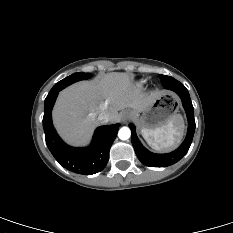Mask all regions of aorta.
<instances>
[{
    "label": "aorta",
    "instance_id": "obj_1",
    "mask_svg": "<svg viewBox=\"0 0 233 233\" xmlns=\"http://www.w3.org/2000/svg\"><path fill=\"white\" fill-rule=\"evenodd\" d=\"M131 136V131L128 127H122L118 132V137L121 140H127Z\"/></svg>",
    "mask_w": 233,
    "mask_h": 233
}]
</instances>
